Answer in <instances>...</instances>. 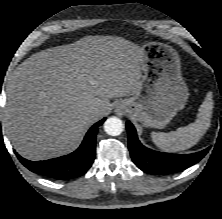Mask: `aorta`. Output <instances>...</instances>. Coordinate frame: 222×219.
<instances>
[{
    "instance_id": "aorta-1",
    "label": "aorta",
    "mask_w": 222,
    "mask_h": 219,
    "mask_svg": "<svg viewBox=\"0 0 222 219\" xmlns=\"http://www.w3.org/2000/svg\"><path fill=\"white\" fill-rule=\"evenodd\" d=\"M123 122L117 117H110L104 123V130L111 136H118L123 132Z\"/></svg>"
}]
</instances>
